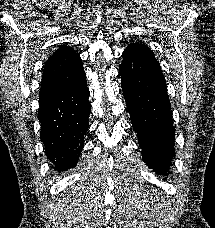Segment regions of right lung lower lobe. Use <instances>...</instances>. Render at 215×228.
Here are the masks:
<instances>
[{"mask_svg": "<svg viewBox=\"0 0 215 228\" xmlns=\"http://www.w3.org/2000/svg\"><path fill=\"white\" fill-rule=\"evenodd\" d=\"M86 75L67 81L57 96L39 104L40 139L52 167L63 172L76 166L88 129L90 104Z\"/></svg>", "mask_w": 215, "mask_h": 228, "instance_id": "98d812e1", "label": "right lung lower lobe"}]
</instances>
